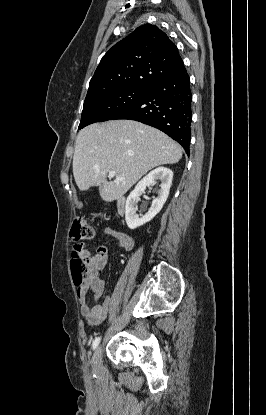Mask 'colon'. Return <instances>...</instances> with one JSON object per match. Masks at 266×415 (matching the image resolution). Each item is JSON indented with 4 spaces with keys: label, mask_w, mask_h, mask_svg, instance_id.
Returning a JSON list of instances; mask_svg holds the SVG:
<instances>
[{
    "label": "colon",
    "mask_w": 266,
    "mask_h": 415,
    "mask_svg": "<svg viewBox=\"0 0 266 415\" xmlns=\"http://www.w3.org/2000/svg\"><path fill=\"white\" fill-rule=\"evenodd\" d=\"M94 236L95 228L86 217L78 216L74 219L70 231V237L73 241L91 239ZM71 267L75 284H82L87 276V273L90 271V268L83 255V251L80 245H77L75 248H73Z\"/></svg>",
    "instance_id": "obj_1"
}]
</instances>
